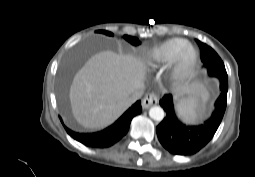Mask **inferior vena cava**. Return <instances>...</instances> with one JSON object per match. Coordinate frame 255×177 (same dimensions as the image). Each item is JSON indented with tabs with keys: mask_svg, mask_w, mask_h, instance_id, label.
<instances>
[{
	"mask_svg": "<svg viewBox=\"0 0 255 177\" xmlns=\"http://www.w3.org/2000/svg\"><path fill=\"white\" fill-rule=\"evenodd\" d=\"M143 89H144V84H140L137 86L136 90L130 95V97L128 98V102L130 104L136 102L138 99L141 98L142 94H143Z\"/></svg>",
	"mask_w": 255,
	"mask_h": 177,
	"instance_id": "602c4592",
	"label": "inferior vena cava"
}]
</instances>
